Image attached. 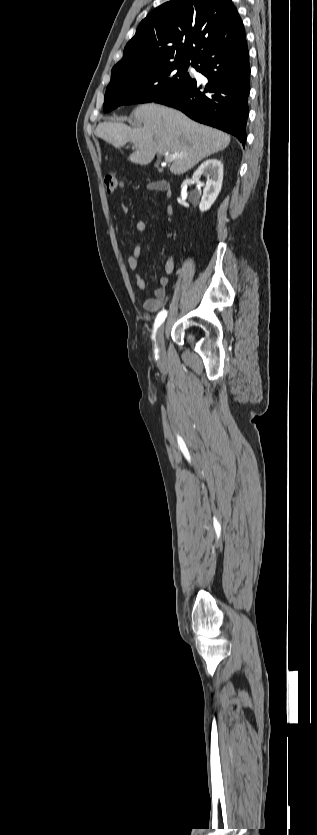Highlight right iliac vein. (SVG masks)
<instances>
[{
	"instance_id": "1",
	"label": "right iliac vein",
	"mask_w": 317,
	"mask_h": 835,
	"mask_svg": "<svg viewBox=\"0 0 317 835\" xmlns=\"http://www.w3.org/2000/svg\"><path fill=\"white\" fill-rule=\"evenodd\" d=\"M156 340L159 350L162 351L164 346V325L159 327Z\"/></svg>"
}]
</instances>
